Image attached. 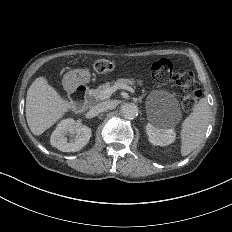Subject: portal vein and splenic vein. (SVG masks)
I'll use <instances>...</instances> for the list:
<instances>
[{"label":"portal vein and splenic vein","instance_id":"obj_1","mask_svg":"<svg viewBox=\"0 0 232 232\" xmlns=\"http://www.w3.org/2000/svg\"><path fill=\"white\" fill-rule=\"evenodd\" d=\"M118 88H122V89H126L128 90L131 94H135V89L132 88L129 85H122V86H113L111 89L109 90H104L102 91L101 95H100V100H104V99H108L112 93H114Z\"/></svg>","mask_w":232,"mask_h":232}]
</instances>
